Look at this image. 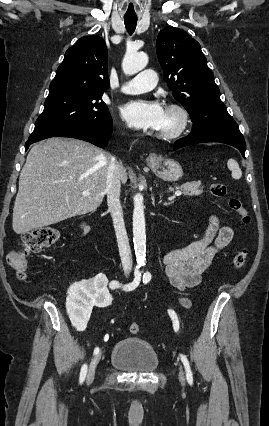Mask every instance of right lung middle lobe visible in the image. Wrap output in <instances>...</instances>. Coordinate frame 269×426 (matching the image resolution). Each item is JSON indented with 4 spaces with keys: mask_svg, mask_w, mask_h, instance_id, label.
I'll use <instances>...</instances> for the list:
<instances>
[{
    "mask_svg": "<svg viewBox=\"0 0 269 426\" xmlns=\"http://www.w3.org/2000/svg\"><path fill=\"white\" fill-rule=\"evenodd\" d=\"M103 92L61 90L49 93L43 113L29 139L71 128L78 124L99 123L111 118L102 101Z\"/></svg>",
    "mask_w": 269,
    "mask_h": 426,
    "instance_id": "right-lung-middle-lobe-1",
    "label": "right lung middle lobe"
}]
</instances>
